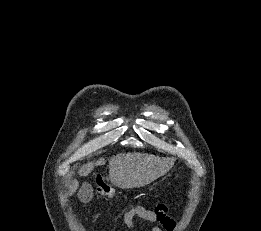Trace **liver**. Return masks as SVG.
<instances>
[{
    "label": "liver",
    "mask_w": 261,
    "mask_h": 231,
    "mask_svg": "<svg viewBox=\"0 0 261 231\" xmlns=\"http://www.w3.org/2000/svg\"><path fill=\"white\" fill-rule=\"evenodd\" d=\"M105 162L104 158L88 162L80 168L79 175L87 176L95 166L104 165ZM173 165V158L136 152L117 154L109 159V179L113 185L122 189L139 188L165 175ZM78 187L79 183L72 181L69 194L72 195Z\"/></svg>",
    "instance_id": "obj_1"
}]
</instances>
